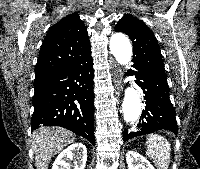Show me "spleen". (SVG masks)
Listing matches in <instances>:
<instances>
[{"label":"spleen","instance_id":"3e777b00","mask_svg":"<svg viewBox=\"0 0 200 169\" xmlns=\"http://www.w3.org/2000/svg\"><path fill=\"white\" fill-rule=\"evenodd\" d=\"M146 154L154 161L158 169H168L171 146L161 135L151 134L146 139Z\"/></svg>","mask_w":200,"mask_h":169}]
</instances>
